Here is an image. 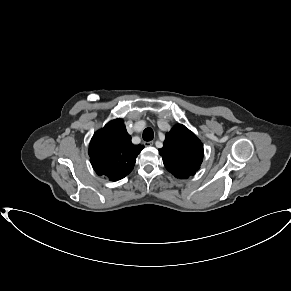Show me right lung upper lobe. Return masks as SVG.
Here are the masks:
<instances>
[{
	"mask_svg": "<svg viewBox=\"0 0 291 291\" xmlns=\"http://www.w3.org/2000/svg\"><path fill=\"white\" fill-rule=\"evenodd\" d=\"M143 145H133L122 119H115L97 131L89 146L90 162L98 175L117 181L128 175Z\"/></svg>",
	"mask_w": 291,
	"mask_h": 291,
	"instance_id": "obj_1",
	"label": "right lung upper lobe"
}]
</instances>
